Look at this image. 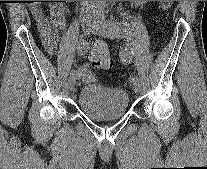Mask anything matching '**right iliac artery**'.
<instances>
[{"instance_id": "right-iliac-artery-1", "label": "right iliac artery", "mask_w": 207, "mask_h": 169, "mask_svg": "<svg viewBox=\"0 0 207 169\" xmlns=\"http://www.w3.org/2000/svg\"><path fill=\"white\" fill-rule=\"evenodd\" d=\"M85 36H86V33L84 36L80 38V41L78 43V49L81 54H85L89 48L88 42L85 40ZM70 77L79 78V74L76 72V70H73L70 73Z\"/></svg>"}]
</instances>
